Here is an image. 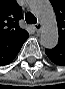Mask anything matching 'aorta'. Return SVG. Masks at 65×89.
Listing matches in <instances>:
<instances>
[{
  "mask_svg": "<svg viewBox=\"0 0 65 89\" xmlns=\"http://www.w3.org/2000/svg\"><path fill=\"white\" fill-rule=\"evenodd\" d=\"M30 8L40 19L42 25L41 45L47 49H53L58 42V28L52 5L47 0H37L32 2Z\"/></svg>",
  "mask_w": 65,
  "mask_h": 89,
  "instance_id": "762f6f07",
  "label": "aorta"
}]
</instances>
